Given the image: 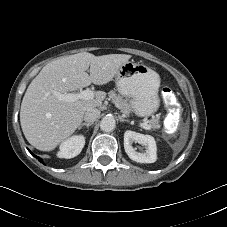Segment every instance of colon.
<instances>
[{"label": "colon", "instance_id": "1", "mask_svg": "<svg viewBox=\"0 0 227 227\" xmlns=\"http://www.w3.org/2000/svg\"><path fill=\"white\" fill-rule=\"evenodd\" d=\"M161 97L164 101L168 102L171 105L178 106V100L171 88L164 87L161 89Z\"/></svg>", "mask_w": 227, "mask_h": 227}]
</instances>
